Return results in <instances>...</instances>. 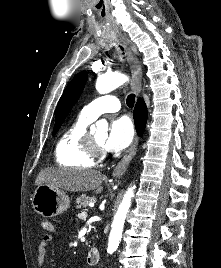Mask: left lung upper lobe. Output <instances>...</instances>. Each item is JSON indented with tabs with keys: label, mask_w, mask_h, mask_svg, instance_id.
I'll use <instances>...</instances> for the list:
<instances>
[{
	"label": "left lung upper lobe",
	"mask_w": 221,
	"mask_h": 268,
	"mask_svg": "<svg viewBox=\"0 0 221 268\" xmlns=\"http://www.w3.org/2000/svg\"><path fill=\"white\" fill-rule=\"evenodd\" d=\"M87 76L88 74L86 71L78 73L65 88L56 108L53 135L59 130L65 117L78 101L87 81Z\"/></svg>",
	"instance_id": "left-lung-upper-lobe-1"
}]
</instances>
